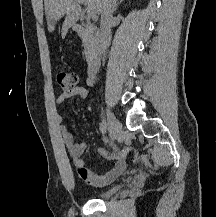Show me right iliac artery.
Segmentation results:
<instances>
[{"label":"right iliac artery","mask_w":216,"mask_h":217,"mask_svg":"<svg viewBox=\"0 0 216 217\" xmlns=\"http://www.w3.org/2000/svg\"><path fill=\"white\" fill-rule=\"evenodd\" d=\"M100 131L103 135H105L107 133V123H106L104 118L100 124Z\"/></svg>","instance_id":"1"}]
</instances>
